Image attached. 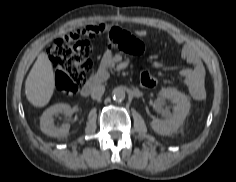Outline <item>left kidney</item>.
I'll use <instances>...</instances> for the list:
<instances>
[{
    "mask_svg": "<svg viewBox=\"0 0 236 182\" xmlns=\"http://www.w3.org/2000/svg\"><path fill=\"white\" fill-rule=\"evenodd\" d=\"M162 98L170 99L174 103L173 114L166 119L155 118L151 121V128L160 135H171L184 123L190 110L188 97L174 88L162 89L159 93Z\"/></svg>",
    "mask_w": 236,
    "mask_h": 182,
    "instance_id": "left-kidney-1",
    "label": "left kidney"
}]
</instances>
